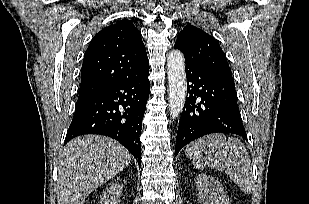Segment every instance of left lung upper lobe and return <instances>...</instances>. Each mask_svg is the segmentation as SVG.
Listing matches in <instances>:
<instances>
[{
    "label": "left lung upper lobe",
    "mask_w": 309,
    "mask_h": 204,
    "mask_svg": "<svg viewBox=\"0 0 309 204\" xmlns=\"http://www.w3.org/2000/svg\"><path fill=\"white\" fill-rule=\"evenodd\" d=\"M175 48L184 54L185 62L205 66L232 77L226 56L218 42L203 30L187 25L177 36Z\"/></svg>",
    "instance_id": "1"
}]
</instances>
